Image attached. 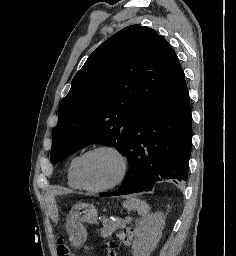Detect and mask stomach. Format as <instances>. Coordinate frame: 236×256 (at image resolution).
<instances>
[{"mask_svg": "<svg viewBox=\"0 0 236 256\" xmlns=\"http://www.w3.org/2000/svg\"><path fill=\"white\" fill-rule=\"evenodd\" d=\"M97 221V210L88 203H79L73 206L66 223V230L71 244L80 247L86 241L87 232L83 223L93 224Z\"/></svg>", "mask_w": 236, "mask_h": 256, "instance_id": "obj_1", "label": "stomach"}]
</instances>
